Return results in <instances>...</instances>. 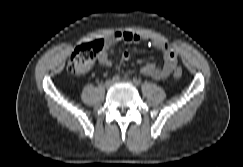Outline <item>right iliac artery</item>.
<instances>
[{"mask_svg":"<svg viewBox=\"0 0 243 167\" xmlns=\"http://www.w3.org/2000/svg\"><path fill=\"white\" fill-rule=\"evenodd\" d=\"M112 80H113L114 82H117V81L120 80V76H119V75H114L113 78H112Z\"/></svg>","mask_w":243,"mask_h":167,"instance_id":"right-iliac-artery-1","label":"right iliac artery"}]
</instances>
